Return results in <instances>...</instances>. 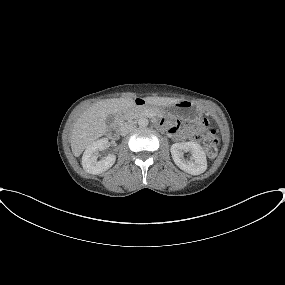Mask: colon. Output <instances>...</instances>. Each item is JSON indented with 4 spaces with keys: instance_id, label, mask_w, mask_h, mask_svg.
<instances>
[{
    "instance_id": "colon-1",
    "label": "colon",
    "mask_w": 285,
    "mask_h": 285,
    "mask_svg": "<svg viewBox=\"0 0 285 285\" xmlns=\"http://www.w3.org/2000/svg\"><path fill=\"white\" fill-rule=\"evenodd\" d=\"M190 136L203 142L207 155L212 158L218 151L219 140L214 129L203 130L199 125L188 127Z\"/></svg>"
}]
</instances>
